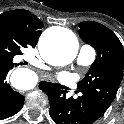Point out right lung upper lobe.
Wrapping results in <instances>:
<instances>
[{"label": "right lung upper lobe", "mask_w": 124, "mask_h": 124, "mask_svg": "<svg viewBox=\"0 0 124 124\" xmlns=\"http://www.w3.org/2000/svg\"><path fill=\"white\" fill-rule=\"evenodd\" d=\"M0 21L19 31L28 45L36 46L41 35L40 29L43 28V23L30 11L24 9L7 11L0 15Z\"/></svg>", "instance_id": "1"}]
</instances>
